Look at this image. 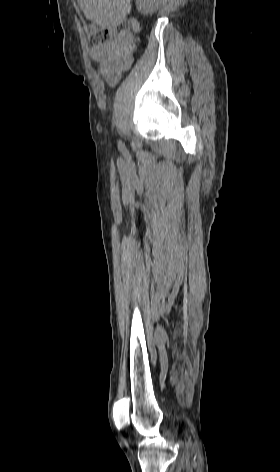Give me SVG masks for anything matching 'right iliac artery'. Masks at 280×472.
I'll list each match as a JSON object with an SVG mask.
<instances>
[{
    "label": "right iliac artery",
    "instance_id": "obj_1",
    "mask_svg": "<svg viewBox=\"0 0 280 472\" xmlns=\"http://www.w3.org/2000/svg\"><path fill=\"white\" fill-rule=\"evenodd\" d=\"M119 146L122 147V143H121V142H119Z\"/></svg>",
    "mask_w": 280,
    "mask_h": 472
}]
</instances>
